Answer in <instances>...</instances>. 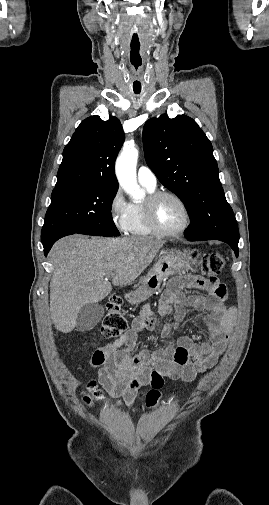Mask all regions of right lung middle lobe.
I'll list each match as a JSON object with an SVG mask.
<instances>
[{"label": "right lung middle lobe", "mask_w": 269, "mask_h": 505, "mask_svg": "<svg viewBox=\"0 0 269 505\" xmlns=\"http://www.w3.org/2000/svg\"><path fill=\"white\" fill-rule=\"evenodd\" d=\"M118 187L71 184L55 187L42 228V241L63 231L96 236H119L111 206Z\"/></svg>", "instance_id": "right-lung-middle-lobe-1"}]
</instances>
